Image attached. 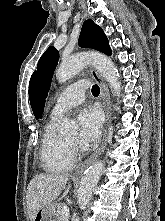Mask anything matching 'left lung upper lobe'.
I'll return each mask as SVG.
<instances>
[{"label": "left lung upper lobe", "mask_w": 165, "mask_h": 221, "mask_svg": "<svg viewBox=\"0 0 165 221\" xmlns=\"http://www.w3.org/2000/svg\"><path fill=\"white\" fill-rule=\"evenodd\" d=\"M79 46L93 48L107 55L112 54L106 35L101 27L92 20H86L83 23L79 37ZM58 59V51L54 47H49L41 56L37 64V70L31 76L29 99L36 119L42 118L45 98L47 97Z\"/></svg>", "instance_id": "1"}]
</instances>
